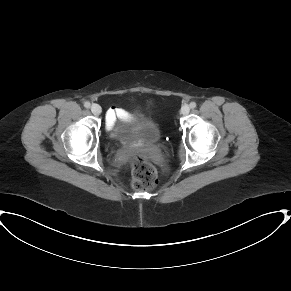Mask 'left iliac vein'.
<instances>
[{"instance_id": "left-iliac-vein-1", "label": "left iliac vein", "mask_w": 291, "mask_h": 291, "mask_svg": "<svg viewBox=\"0 0 291 291\" xmlns=\"http://www.w3.org/2000/svg\"><path fill=\"white\" fill-rule=\"evenodd\" d=\"M189 112H190V107H189L188 105H184V106L181 108V114H182V115H187Z\"/></svg>"}]
</instances>
